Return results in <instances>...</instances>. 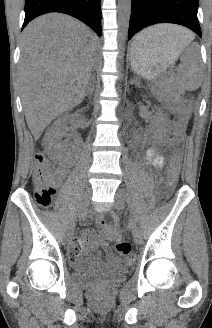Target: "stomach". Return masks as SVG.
<instances>
[{
	"label": "stomach",
	"mask_w": 212,
	"mask_h": 328,
	"mask_svg": "<svg viewBox=\"0 0 212 328\" xmlns=\"http://www.w3.org/2000/svg\"><path fill=\"white\" fill-rule=\"evenodd\" d=\"M184 46L172 40H157L137 50L134 40L130 51L132 69L144 79L155 80L178 58Z\"/></svg>",
	"instance_id": "0dacf381"
}]
</instances>
